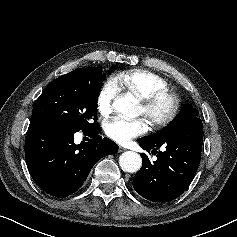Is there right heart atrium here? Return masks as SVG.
<instances>
[{"label": "right heart atrium", "instance_id": "right-heart-atrium-1", "mask_svg": "<svg viewBox=\"0 0 237 237\" xmlns=\"http://www.w3.org/2000/svg\"><path fill=\"white\" fill-rule=\"evenodd\" d=\"M118 92V86L113 80H107L103 83L96 98V108L101 116L106 117L110 114Z\"/></svg>", "mask_w": 237, "mask_h": 237}]
</instances>
